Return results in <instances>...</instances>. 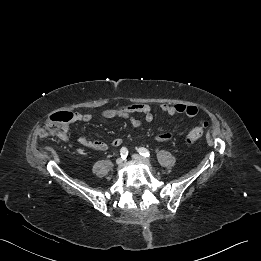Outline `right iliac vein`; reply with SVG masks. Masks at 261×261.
Segmentation results:
<instances>
[{
    "instance_id": "obj_1",
    "label": "right iliac vein",
    "mask_w": 261,
    "mask_h": 261,
    "mask_svg": "<svg viewBox=\"0 0 261 261\" xmlns=\"http://www.w3.org/2000/svg\"><path fill=\"white\" fill-rule=\"evenodd\" d=\"M123 162H124V160H123V158H121V157L117 158V160H116V164H117V165H122Z\"/></svg>"
}]
</instances>
